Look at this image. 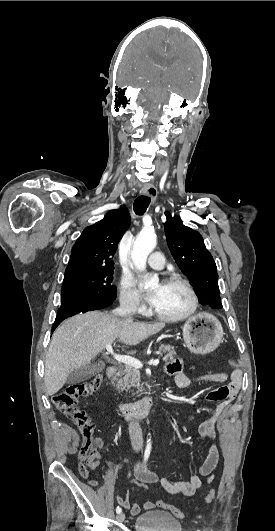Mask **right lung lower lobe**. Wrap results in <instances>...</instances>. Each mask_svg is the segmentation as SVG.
Segmentation results:
<instances>
[{"label": "right lung lower lobe", "mask_w": 275, "mask_h": 531, "mask_svg": "<svg viewBox=\"0 0 275 531\" xmlns=\"http://www.w3.org/2000/svg\"><path fill=\"white\" fill-rule=\"evenodd\" d=\"M110 304H104L94 300H90L84 296L70 295L62 297L61 306L55 322L52 326V332L56 327L66 318L77 313H85L88 311L99 310L108 307Z\"/></svg>", "instance_id": "98d812e1"}]
</instances>
